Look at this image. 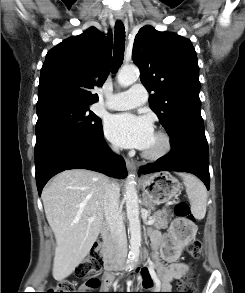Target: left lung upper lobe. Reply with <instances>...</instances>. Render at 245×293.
<instances>
[{"mask_svg": "<svg viewBox=\"0 0 245 293\" xmlns=\"http://www.w3.org/2000/svg\"><path fill=\"white\" fill-rule=\"evenodd\" d=\"M149 106L170 134L180 128L204 130L199 98V67L189 39L147 25L137 33L132 52Z\"/></svg>", "mask_w": 245, "mask_h": 293, "instance_id": "5c2ea615", "label": "left lung upper lobe"}]
</instances>
